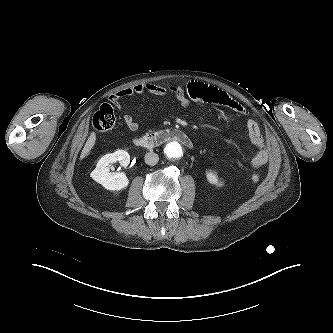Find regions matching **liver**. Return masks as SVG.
Returning <instances> with one entry per match:
<instances>
[{
  "instance_id": "6515ba94",
  "label": "liver",
  "mask_w": 333,
  "mask_h": 333,
  "mask_svg": "<svg viewBox=\"0 0 333 333\" xmlns=\"http://www.w3.org/2000/svg\"><path fill=\"white\" fill-rule=\"evenodd\" d=\"M95 141H96V135H95L94 132H92L90 134L82 152H81L80 160L84 159L89 154V152L91 151V149L95 145Z\"/></svg>"
}]
</instances>
